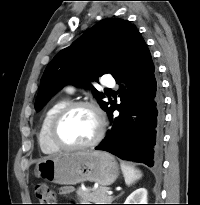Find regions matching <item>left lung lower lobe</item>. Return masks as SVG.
<instances>
[{
	"label": "left lung lower lobe",
	"instance_id": "0a47b994",
	"mask_svg": "<svg viewBox=\"0 0 200 205\" xmlns=\"http://www.w3.org/2000/svg\"><path fill=\"white\" fill-rule=\"evenodd\" d=\"M120 85L121 103L111 101V129L96 150L123 160L157 167L161 162L164 104L149 49L139 32L112 75ZM120 112L113 117V112ZM134 113L136 120L131 121Z\"/></svg>",
	"mask_w": 200,
	"mask_h": 205
}]
</instances>
